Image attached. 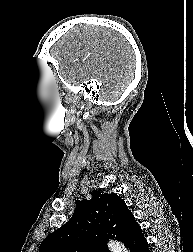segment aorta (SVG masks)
I'll use <instances>...</instances> for the list:
<instances>
[{
	"instance_id": "obj_1",
	"label": "aorta",
	"mask_w": 193,
	"mask_h": 252,
	"mask_svg": "<svg viewBox=\"0 0 193 252\" xmlns=\"http://www.w3.org/2000/svg\"><path fill=\"white\" fill-rule=\"evenodd\" d=\"M108 247L111 252H128L124 244L116 241H109Z\"/></svg>"
}]
</instances>
